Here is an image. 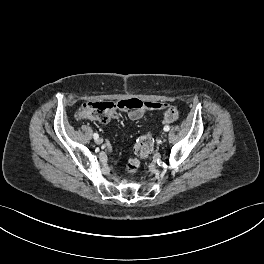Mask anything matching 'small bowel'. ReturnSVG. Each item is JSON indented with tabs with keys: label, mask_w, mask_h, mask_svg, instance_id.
Segmentation results:
<instances>
[{
	"label": "small bowel",
	"mask_w": 264,
	"mask_h": 264,
	"mask_svg": "<svg viewBox=\"0 0 264 264\" xmlns=\"http://www.w3.org/2000/svg\"><path fill=\"white\" fill-rule=\"evenodd\" d=\"M129 103L128 107L121 108L128 110V116L131 120L141 119L147 112L155 110H165L164 123H172L179 117L178 109L165 102L141 101L137 98L124 100ZM109 148V145H108Z\"/></svg>",
	"instance_id": "small-bowel-1"
}]
</instances>
